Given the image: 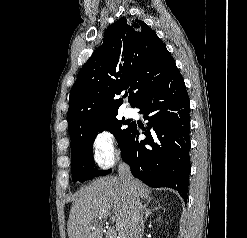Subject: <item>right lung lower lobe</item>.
I'll use <instances>...</instances> for the list:
<instances>
[{
    "label": "right lung lower lobe",
    "instance_id": "98d812e1",
    "mask_svg": "<svg viewBox=\"0 0 247 238\" xmlns=\"http://www.w3.org/2000/svg\"><path fill=\"white\" fill-rule=\"evenodd\" d=\"M147 127L130 124L121 149L131 173L150 187H170L187 200L191 171L190 101L184 80L175 68L169 77L136 106ZM140 133L146 135L138 140Z\"/></svg>",
    "mask_w": 247,
    "mask_h": 238
}]
</instances>
